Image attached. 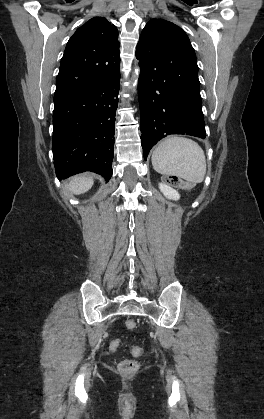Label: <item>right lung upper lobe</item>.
I'll use <instances>...</instances> for the list:
<instances>
[{
	"label": "right lung upper lobe",
	"mask_w": 264,
	"mask_h": 419,
	"mask_svg": "<svg viewBox=\"0 0 264 419\" xmlns=\"http://www.w3.org/2000/svg\"><path fill=\"white\" fill-rule=\"evenodd\" d=\"M118 30L94 17L69 39L56 80L55 94L75 91L108 80L119 72Z\"/></svg>",
	"instance_id": "obj_1"
}]
</instances>
